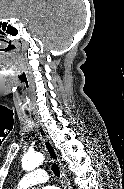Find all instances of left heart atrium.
<instances>
[{
  "mask_svg": "<svg viewBox=\"0 0 124 189\" xmlns=\"http://www.w3.org/2000/svg\"><path fill=\"white\" fill-rule=\"evenodd\" d=\"M43 189H58V188L53 187V186H47V187H45V188H43Z\"/></svg>",
  "mask_w": 124,
  "mask_h": 189,
  "instance_id": "39dd6f15",
  "label": "left heart atrium"
}]
</instances>
